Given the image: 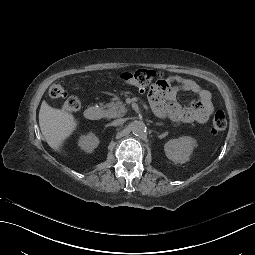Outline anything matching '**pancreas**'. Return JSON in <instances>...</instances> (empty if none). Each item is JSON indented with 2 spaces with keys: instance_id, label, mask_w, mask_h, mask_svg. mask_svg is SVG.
Wrapping results in <instances>:
<instances>
[{
  "instance_id": "cf45deb5",
  "label": "pancreas",
  "mask_w": 255,
  "mask_h": 255,
  "mask_svg": "<svg viewBox=\"0 0 255 255\" xmlns=\"http://www.w3.org/2000/svg\"><path fill=\"white\" fill-rule=\"evenodd\" d=\"M106 116L109 118H120L126 113V108L121 101L106 104Z\"/></svg>"
}]
</instances>
